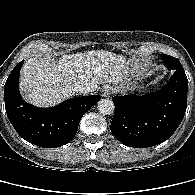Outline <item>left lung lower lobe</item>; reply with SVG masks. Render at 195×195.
<instances>
[{
  "label": "left lung lower lobe",
  "instance_id": "left-lung-lower-lobe-1",
  "mask_svg": "<svg viewBox=\"0 0 195 195\" xmlns=\"http://www.w3.org/2000/svg\"><path fill=\"white\" fill-rule=\"evenodd\" d=\"M174 74L159 91L137 96H115L111 132L123 144L144 148L169 139L183 120L187 107L188 79L185 71Z\"/></svg>",
  "mask_w": 195,
  "mask_h": 195
}]
</instances>
